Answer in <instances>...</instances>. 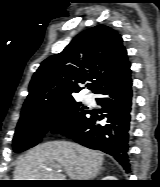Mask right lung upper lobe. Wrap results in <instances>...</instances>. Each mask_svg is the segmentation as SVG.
I'll use <instances>...</instances> for the list:
<instances>
[{
  "mask_svg": "<svg viewBox=\"0 0 160 187\" xmlns=\"http://www.w3.org/2000/svg\"><path fill=\"white\" fill-rule=\"evenodd\" d=\"M130 63L121 36L105 25L77 35L59 54L44 60L34 73L22 112H35L69 101L87 83L94 93Z\"/></svg>",
  "mask_w": 160,
  "mask_h": 187,
  "instance_id": "1",
  "label": "right lung upper lobe"
}]
</instances>
